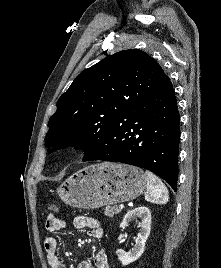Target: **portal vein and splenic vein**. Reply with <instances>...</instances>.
Instances as JSON below:
<instances>
[{
    "instance_id": "obj_1",
    "label": "portal vein and splenic vein",
    "mask_w": 221,
    "mask_h": 268,
    "mask_svg": "<svg viewBox=\"0 0 221 268\" xmlns=\"http://www.w3.org/2000/svg\"><path fill=\"white\" fill-rule=\"evenodd\" d=\"M124 208V205L123 204H120L119 205V209H123Z\"/></svg>"
}]
</instances>
